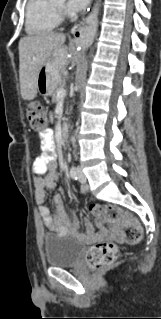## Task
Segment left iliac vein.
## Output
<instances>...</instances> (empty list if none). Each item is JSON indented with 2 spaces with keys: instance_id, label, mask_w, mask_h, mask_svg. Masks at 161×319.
Returning <instances> with one entry per match:
<instances>
[{
  "instance_id": "4c4485c4",
  "label": "left iliac vein",
  "mask_w": 161,
  "mask_h": 319,
  "mask_svg": "<svg viewBox=\"0 0 161 319\" xmlns=\"http://www.w3.org/2000/svg\"><path fill=\"white\" fill-rule=\"evenodd\" d=\"M79 181L81 183H86V176L84 175V173L82 171L79 170Z\"/></svg>"
}]
</instances>
